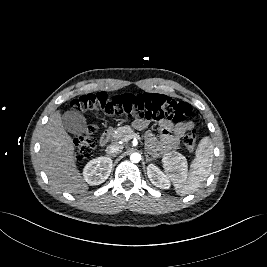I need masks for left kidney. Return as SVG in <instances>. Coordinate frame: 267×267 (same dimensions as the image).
Returning a JSON list of instances; mask_svg holds the SVG:
<instances>
[{
    "mask_svg": "<svg viewBox=\"0 0 267 267\" xmlns=\"http://www.w3.org/2000/svg\"><path fill=\"white\" fill-rule=\"evenodd\" d=\"M166 160V158H165ZM147 175L153 185L160 189H169L171 186L170 178L155 164L147 166Z\"/></svg>",
    "mask_w": 267,
    "mask_h": 267,
    "instance_id": "1",
    "label": "left kidney"
}]
</instances>
